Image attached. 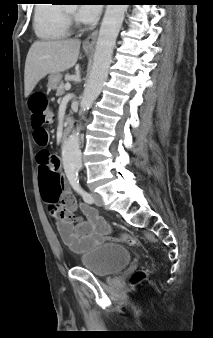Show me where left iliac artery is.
<instances>
[{
    "mask_svg": "<svg viewBox=\"0 0 213 338\" xmlns=\"http://www.w3.org/2000/svg\"><path fill=\"white\" fill-rule=\"evenodd\" d=\"M72 187L78 194L82 196L86 203L92 204L94 202L93 197L81 187L79 181L73 183Z\"/></svg>",
    "mask_w": 213,
    "mask_h": 338,
    "instance_id": "44dca946",
    "label": "left iliac artery"
}]
</instances>
